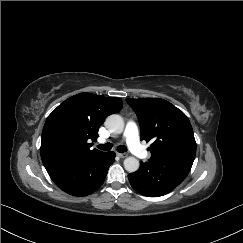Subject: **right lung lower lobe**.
I'll list each match as a JSON object with an SVG mask.
<instances>
[{
    "label": "right lung lower lobe",
    "instance_id": "1",
    "mask_svg": "<svg viewBox=\"0 0 243 243\" xmlns=\"http://www.w3.org/2000/svg\"><path fill=\"white\" fill-rule=\"evenodd\" d=\"M114 152H101L76 164L48 171L53 182L63 191L74 196H86L103 184Z\"/></svg>",
    "mask_w": 243,
    "mask_h": 243
}]
</instances>
